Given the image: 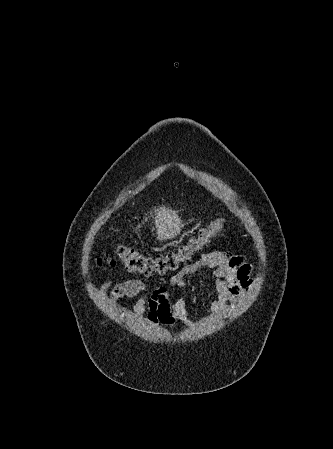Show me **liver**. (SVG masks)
<instances>
[{"mask_svg":"<svg viewBox=\"0 0 333 449\" xmlns=\"http://www.w3.org/2000/svg\"><path fill=\"white\" fill-rule=\"evenodd\" d=\"M150 216H153V212H150ZM154 216L156 235L158 236V240L162 241L171 239L174 236L180 234L181 228H183L184 225L182 224V221L178 216V212L162 206L159 208H154ZM144 221H147V217L144 218ZM137 228H141L140 224L137 226Z\"/></svg>","mask_w":333,"mask_h":449,"instance_id":"1","label":"liver"}]
</instances>
